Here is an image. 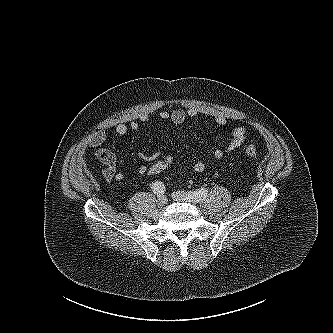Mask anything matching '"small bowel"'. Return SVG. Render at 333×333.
<instances>
[{
    "instance_id": "c3829d8e",
    "label": "small bowel",
    "mask_w": 333,
    "mask_h": 333,
    "mask_svg": "<svg viewBox=\"0 0 333 333\" xmlns=\"http://www.w3.org/2000/svg\"><path fill=\"white\" fill-rule=\"evenodd\" d=\"M197 115V112L194 109L183 110L180 108L173 109L171 111L161 110L159 112V117L164 121H171L174 125H181L188 118H193ZM215 123L218 126H224L226 124V119L222 115H218L214 118ZM139 125L137 122H131L130 124L120 123L116 126L115 132L119 136H124L128 131H136ZM106 140V134L103 131H97L92 134L89 139V146L95 149V156L97 160L103 165L101 170V176L105 180H117L121 181L124 178L122 172L117 171L116 168V158L115 155L107 148L103 147V144ZM246 140V129L244 126L235 127L227 141L226 147L216 148L212 155L216 161L223 159L228 154L234 152L239 148L244 141ZM161 152L157 151L154 153L141 152L139 157L142 161L146 163H151L159 158ZM148 166L146 164L141 165L138 168L140 174H146ZM206 164L203 160H196L193 164V170L197 173H201L205 170Z\"/></svg>"
}]
</instances>
